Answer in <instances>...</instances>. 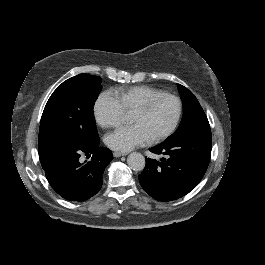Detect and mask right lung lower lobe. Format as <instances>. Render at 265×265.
Here are the masks:
<instances>
[{
	"mask_svg": "<svg viewBox=\"0 0 265 265\" xmlns=\"http://www.w3.org/2000/svg\"><path fill=\"white\" fill-rule=\"evenodd\" d=\"M92 158L80 163V154ZM46 178L61 197L83 201L95 195L102 186V175L113 158L111 151L99 147V141L83 147L51 146L39 153Z\"/></svg>",
	"mask_w": 265,
	"mask_h": 265,
	"instance_id": "right-lung-lower-lobe-1",
	"label": "right lung lower lobe"
}]
</instances>
